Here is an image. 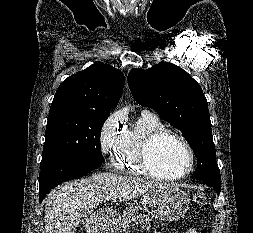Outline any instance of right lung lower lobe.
<instances>
[{"instance_id": "98d812e1", "label": "right lung lower lobe", "mask_w": 253, "mask_h": 233, "mask_svg": "<svg viewBox=\"0 0 253 233\" xmlns=\"http://www.w3.org/2000/svg\"><path fill=\"white\" fill-rule=\"evenodd\" d=\"M100 163L59 160L40 167L39 174V200L44 199L46 194L57 185L82 177L99 167Z\"/></svg>"}]
</instances>
